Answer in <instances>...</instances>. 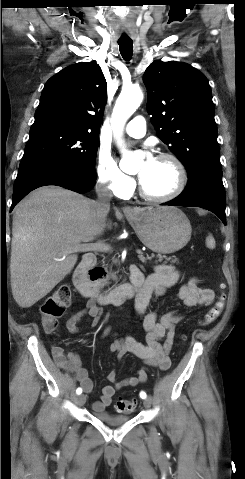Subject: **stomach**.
Masks as SVG:
<instances>
[{
  "label": "stomach",
  "mask_w": 245,
  "mask_h": 479,
  "mask_svg": "<svg viewBox=\"0 0 245 479\" xmlns=\"http://www.w3.org/2000/svg\"><path fill=\"white\" fill-rule=\"evenodd\" d=\"M127 219L142 243L157 253H174L191 238L190 221L175 207L137 208Z\"/></svg>",
  "instance_id": "0dacf381"
}]
</instances>
